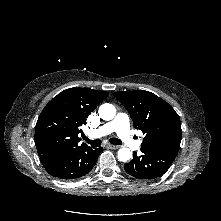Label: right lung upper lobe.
<instances>
[{
  "instance_id": "obj_1",
  "label": "right lung upper lobe",
  "mask_w": 221,
  "mask_h": 221,
  "mask_svg": "<svg viewBox=\"0 0 221 221\" xmlns=\"http://www.w3.org/2000/svg\"><path fill=\"white\" fill-rule=\"evenodd\" d=\"M108 93L89 88H69L54 97L41 112L35 127L40 156L79 145L80 126Z\"/></svg>"
}]
</instances>
